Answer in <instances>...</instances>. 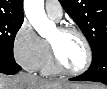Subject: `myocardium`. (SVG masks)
I'll return each instance as SVG.
<instances>
[{
    "label": "myocardium",
    "mask_w": 107,
    "mask_h": 89,
    "mask_svg": "<svg viewBox=\"0 0 107 89\" xmlns=\"http://www.w3.org/2000/svg\"><path fill=\"white\" fill-rule=\"evenodd\" d=\"M58 31L61 33L75 34L82 40V42L85 46V50H86V61H85L84 65L78 70L68 69L60 60L54 45L49 41L50 52H51L52 60H53V63H54V66L56 67V69L61 73H64L67 75H72V76L80 75V74L84 73L85 71H87L93 61V52H92L90 42L87 39L86 35L81 30H79L75 27H72V26H61L58 28Z\"/></svg>",
    "instance_id": "obj_1"
}]
</instances>
